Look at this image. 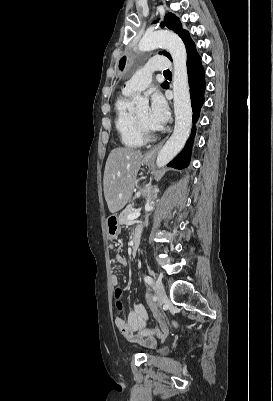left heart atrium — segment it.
<instances>
[{"label": "left heart atrium", "instance_id": "obj_1", "mask_svg": "<svg viewBox=\"0 0 273 401\" xmlns=\"http://www.w3.org/2000/svg\"><path fill=\"white\" fill-rule=\"evenodd\" d=\"M169 111L161 95H153L148 109L147 120L150 128L161 129L167 122Z\"/></svg>", "mask_w": 273, "mask_h": 401}]
</instances>
